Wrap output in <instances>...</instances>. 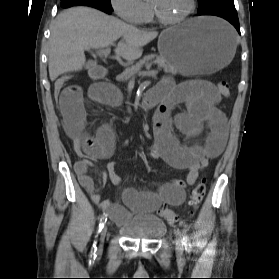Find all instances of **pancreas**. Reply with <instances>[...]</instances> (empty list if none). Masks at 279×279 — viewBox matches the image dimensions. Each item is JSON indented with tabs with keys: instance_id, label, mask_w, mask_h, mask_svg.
<instances>
[{
	"instance_id": "obj_1",
	"label": "pancreas",
	"mask_w": 279,
	"mask_h": 279,
	"mask_svg": "<svg viewBox=\"0 0 279 279\" xmlns=\"http://www.w3.org/2000/svg\"><path fill=\"white\" fill-rule=\"evenodd\" d=\"M155 59V63L158 64L159 67L163 68V70L167 73H171L173 75L177 74V70L174 66H172L168 61H166L163 57L157 56L155 54L148 55L144 57V59L140 62H138L135 66L126 68L120 75L116 77V80L125 82L129 80L135 73H137L139 70H136V68H139L142 66L143 63L146 61H150L152 59Z\"/></svg>"
}]
</instances>
